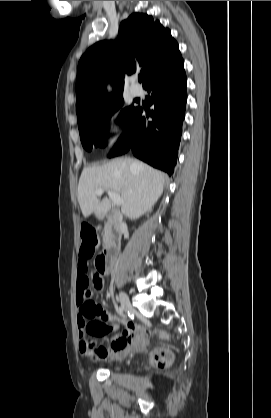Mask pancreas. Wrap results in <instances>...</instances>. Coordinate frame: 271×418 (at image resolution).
<instances>
[{"mask_svg": "<svg viewBox=\"0 0 271 418\" xmlns=\"http://www.w3.org/2000/svg\"><path fill=\"white\" fill-rule=\"evenodd\" d=\"M107 235H108V230L105 229L104 239L107 237Z\"/></svg>", "mask_w": 271, "mask_h": 418, "instance_id": "cf45deb5", "label": "pancreas"}]
</instances>
